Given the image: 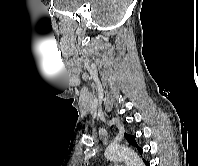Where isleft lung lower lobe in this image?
Returning <instances> with one entry per match:
<instances>
[{"mask_svg": "<svg viewBox=\"0 0 198 166\" xmlns=\"http://www.w3.org/2000/svg\"><path fill=\"white\" fill-rule=\"evenodd\" d=\"M146 166H149V162L148 161H144Z\"/></svg>", "mask_w": 198, "mask_h": 166, "instance_id": "left-lung-lower-lobe-1", "label": "left lung lower lobe"}]
</instances>
